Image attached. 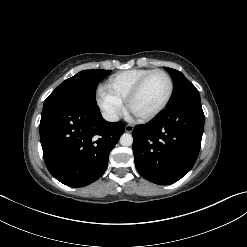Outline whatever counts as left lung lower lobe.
I'll list each match as a JSON object with an SVG mask.
<instances>
[{
  "instance_id": "1",
  "label": "left lung lower lobe",
  "mask_w": 247,
  "mask_h": 247,
  "mask_svg": "<svg viewBox=\"0 0 247 247\" xmlns=\"http://www.w3.org/2000/svg\"><path fill=\"white\" fill-rule=\"evenodd\" d=\"M204 118L201 101L188 100L136 126L133 153L140 175L160 185L173 184L186 175L200 151Z\"/></svg>"
}]
</instances>
